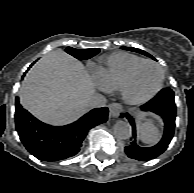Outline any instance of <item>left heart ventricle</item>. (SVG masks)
I'll return each mask as SVG.
<instances>
[{
	"label": "left heart ventricle",
	"instance_id": "1",
	"mask_svg": "<svg viewBox=\"0 0 194 193\" xmlns=\"http://www.w3.org/2000/svg\"><path fill=\"white\" fill-rule=\"evenodd\" d=\"M159 79V69L154 65L144 64L135 73L126 93L132 98L147 96L156 88Z\"/></svg>",
	"mask_w": 194,
	"mask_h": 193
}]
</instances>
